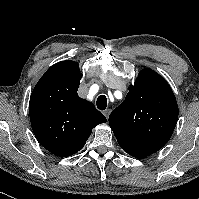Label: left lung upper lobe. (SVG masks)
Segmentation results:
<instances>
[{"label":"left lung upper lobe","mask_w":199,"mask_h":199,"mask_svg":"<svg viewBox=\"0 0 199 199\" xmlns=\"http://www.w3.org/2000/svg\"><path fill=\"white\" fill-rule=\"evenodd\" d=\"M178 106L167 81L151 69H143L125 101L109 116L111 129L166 144L176 126Z\"/></svg>","instance_id":"obj_1"}]
</instances>
